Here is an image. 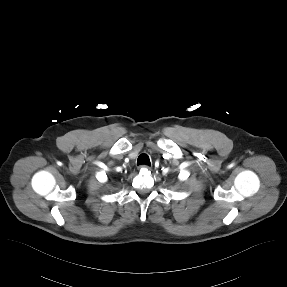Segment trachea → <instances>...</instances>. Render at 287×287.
Segmentation results:
<instances>
[{"label": "trachea", "mask_w": 287, "mask_h": 287, "mask_svg": "<svg viewBox=\"0 0 287 287\" xmlns=\"http://www.w3.org/2000/svg\"><path fill=\"white\" fill-rule=\"evenodd\" d=\"M142 164H146V165H151L149 157L146 154H141L138 159H137V165H142Z\"/></svg>", "instance_id": "obj_1"}]
</instances>
